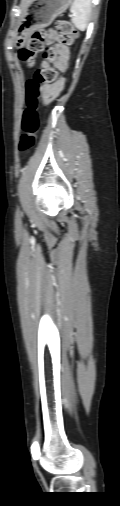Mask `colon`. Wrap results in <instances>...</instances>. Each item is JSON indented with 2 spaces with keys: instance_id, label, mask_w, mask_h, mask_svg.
Listing matches in <instances>:
<instances>
[{
  "instance_id": "colon-1",
  "label": "colon",
  "mask_w": 120,
  "mask_h": 506,
  "mask_svg": "<svg viewBox=\"0 0 120 506\" xmlns=\"http://www.w3.org/2000/svg\"><path fill=\"white\" fill-rule=\"evenodd\" d=\"M58 43L71 45L78 36L77 30L68 21L57 22ZM44 31L34 32L26 46L19 53L20 60L27 66H32L34 57L42 53L43 61L51 64L56 59V49L53 46L44 47ZM57 71L50 65H43L37 69L32 79L26 85L25 108L22 115V137L20 151L27 152L35 144V135L39 129L40 120L38 110L41 100V87L44 84L53 83L57 78Z\"/></svg>"
}]
</instances>
